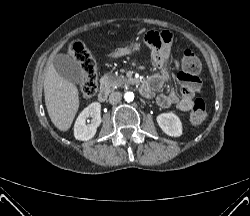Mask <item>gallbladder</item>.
<instances>
[{
    "label": "gallbladder",
    "instance_id": "gallbladder-1",
    "mask_svg": "<svg viewBox=\"0 0 250 216\" xmlns=\"http://www.w3.org/2000/svg\"><path fill=\"white\" fill-rule=\"evenodd\" d=\"M53 66L61 77L71 83L81 84L85 80L84 70L68 55L58 54L53 59Z\"/></svg>",
    "mask_w": 250,
    "mask_h": 216
}]
</instances>
